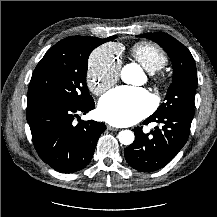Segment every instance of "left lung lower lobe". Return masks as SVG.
Instances as JSON below:
<instances>
[{"mask_svg": "<svg viewBox=\"0 0 217 217\" xmlns=\"http://www.w3.org/2000/svg\"><path fill=\"white\" fill-rule=\"evenodd\" d=\"M193 116L168 113L150 116L143 124L161 123L162 128L144 134L142 127H135V141L125 149L128 164L140 172H153L167 165L188 140Z\"/></svg>", "mask_w": 217, "mask_h": 217, "instance_id": "obj_1", "label": "left lung lower lobe"}]
</instances>
